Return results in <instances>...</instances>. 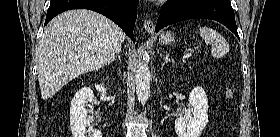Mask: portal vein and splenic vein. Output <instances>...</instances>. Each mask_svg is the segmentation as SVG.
<instances>
[{"instance_id": "portal-vein-and-splenic-vein-1", "label": "portal vein and splenic vein", "mask_w": 280, "mask_h": 137, "mask_svg": "<svg viewBox=\"0 0 280 137\" xmlns=\"http://www.w3.org/2000/svg\"><path fill=\"white\" fill-rule=\"evenodd\" d=\"M192 54H193L192 52L185 54V55L183 56V59H188L189 57L192 56Z\"/></svg>"}]
</instances>
